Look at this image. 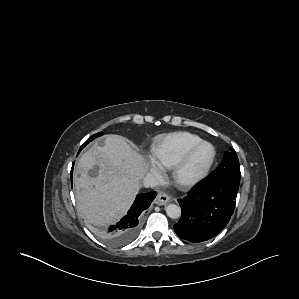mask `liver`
Instances as JSON below:
<instances>
[{
  "instance_id": "liver-1",
  "label": "liver",
  "mask_w": 299,
  "mask_h": 299,
  "mask_svg": "<svg viewBox=\"0 0 299 299\" xmlns=\"http://www.w3.org/2000/svg\"><path fill=\"white\" fill-rule=\"evenodd\" d=\"M98 166L97 175L89 170ZM146 173L144 159L119 135H106L78 161L74 172L78 211L90 224L106 226L120 219L134 201Z\"/></svg>"
}]
</instances>
